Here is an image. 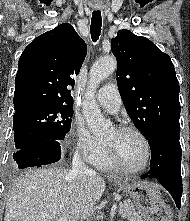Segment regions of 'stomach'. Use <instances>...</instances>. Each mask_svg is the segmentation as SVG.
<instances>
[{"label": "stomach", "instance_id": "obj_1", "mask_svg": "<svg viewBox=\"0 0 190 221\" xmlns=\"http://www.w3.org/2000/svg\"><path fill=\"white\" fill-rule=\"evenodd\" d=\"M115 181L133 199L130 205H134L135 216L144 217L138 221H171L156 185L147 181Z\"/></svg>", "mask_w": 190, "mask_h": 221}]
</instances>
